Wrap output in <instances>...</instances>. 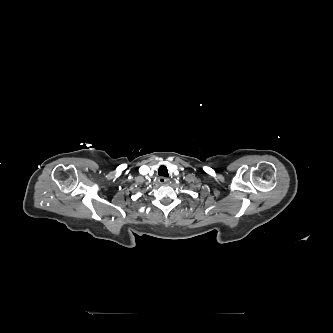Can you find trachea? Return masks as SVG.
Wrapping results in <instances>:
<instances>
[{
    "label": "trachea",
    "instance_id": "3493384b",
    "mask_svg": "<svg viewBox=\"0 0 333 333\" xmlns=\"http://www.w3.org/2000/svg\"><path fill=\"white\" fill-rule=\"evenodd\" d=\"M158 174H159L160 176L168 177L169 174H168V169H167V167L164 166V165L160 166L159 169H158Z\"/></svg>",
    "mask_w": 333,
    "mask_h": 333
}]
</instances>
